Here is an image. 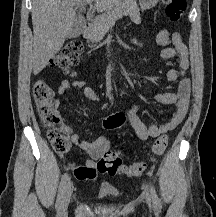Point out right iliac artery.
<instances>
[{
	"label": "right iliac artery",
	"mask_w": 216,
	"mask_h": 217,
	"mask_svg": "<svg viewBox=\"0 0 216 217\" xmlns=\"http://www.w3.org/2000/svg\"><path fill=\"white\" fill-rule=\"evenodd\" d=\"M68 182H69V175L67 173H64L60 181L58 195H57V201H56V206H55L57 211L61 209L63 193H64L65 187L67 186Z\"/></svg>",
	"instance_id": "obj_1"
}]
</instances>
